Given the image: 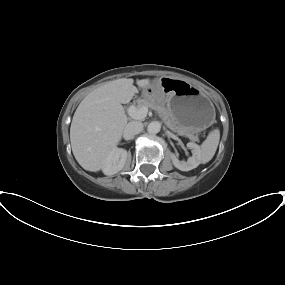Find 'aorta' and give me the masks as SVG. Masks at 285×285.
Instances as JSON below:
<instances>
[{"mask_svg": "<svg viewBox=\"0 0 285 285\" xmlns=\"http://www.w3.org/2000/svg\"><path fill=\"white\" fill-rule=\"evenodd\" d=\"M161 129V123L158 121H153L151 122L148 127H147V131L150 134H157Z\"/></svg>", "mask_w": 285, "mask_h": 285, "instance_id": "1", "label": "aorta"}]
</instances>
